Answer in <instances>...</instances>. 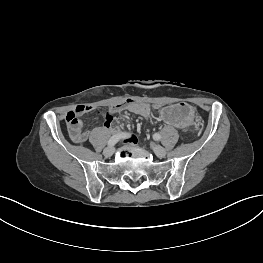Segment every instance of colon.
Segmentation results:
<instances>
[{"label":"colon","mask_w":263,"mask_h":263,"mask_svg":"<svg viewBox=\"0 0 263 263\" xmlns=\"http://www.w3.org/2000/svg\"><path fill=\"white\" fill-rule=\"evenodd\" d=\"M132 100H134V99H132ZM141 104H143V103H141ZM144 105H146V104H144ZM110 116H111L110 112L105 113L104 119H109ZM65 121H66V125H67V130H68V133H69L71 139L75 142L84 141L86 138V132L83 128V122L81 121L79 116L75 112L71 111L67 114Z\"/></svg>","instance_id":"5ec220e1"}]
</instances>
